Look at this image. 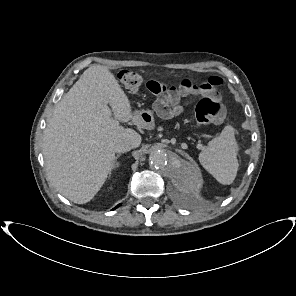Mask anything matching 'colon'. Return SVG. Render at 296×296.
<instances>
[{"instance_id": "obj_1", "label": "colon", "mask_w": 296, "mask_h": 296, "mask_svg": "<svg viewBox=\"0 0 296 296\" xmlns=\"http://www.w3.org/2000/svg\"><path fill=\"white\" fill-rule=\"evenodd\" d=\"M118 79L121 85L129 91L137 90L143 84L141 73L133 70H121L118 73ZM196 87H205L203 83L195 84L192 80L184 78L179 83V89L187 91ZM155 91L157 89H154ZM196 120L201 126H207L211 123L220 121L224 116L222 104L213 97L202 98L195 107Z\"/></svg>"}]
</instances>
